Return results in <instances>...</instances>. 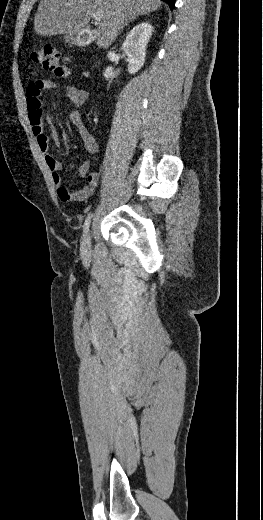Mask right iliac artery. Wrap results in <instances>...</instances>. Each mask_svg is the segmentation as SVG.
<instances>
[{
    "mask_svg": "<svg viewBox=\"0 0 263 520\" xmlns=\"http://www.w3.org/2000/svg\"><path fill=\"white\" fill-rule=\"evenodd\" d=\"M91 217H92V214L90 213V214H88V216L85 220V223H84V233L85 234H87L89 231Z\"/></svg>",
    "mask_w": 263,
    "mask_h": 520,
    "instance_id": "82829eb1",
    "label": "right iliac artery"
}]
</instances>
